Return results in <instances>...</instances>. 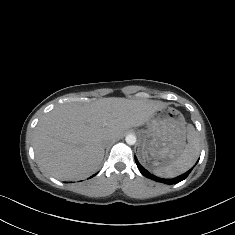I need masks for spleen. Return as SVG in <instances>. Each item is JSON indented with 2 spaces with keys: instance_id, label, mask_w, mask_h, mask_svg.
Listing matches in <instances>:
<instances>
[{
  "instance_id": "1",
  "label": "spleen",
  "mask_w": 235,
  "mask_h": 235,
  "mask_svg": "<svg viewBox=\"0 0 235 235\" xmlns=\"http://www.w3.org/2000/svg\"><path fill=\"white\" fill-rule=\"evenodd\" d=\"M188 144L184 151L175 160L158 166L153 173L161 178H174L188 171L195 164L199 156V139L193 125L187 126Z\"/></svg>"
}]
</instances>
